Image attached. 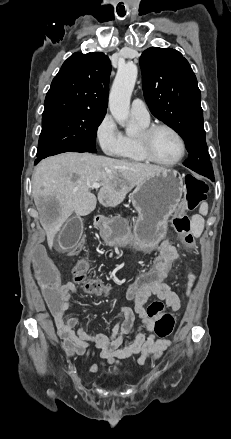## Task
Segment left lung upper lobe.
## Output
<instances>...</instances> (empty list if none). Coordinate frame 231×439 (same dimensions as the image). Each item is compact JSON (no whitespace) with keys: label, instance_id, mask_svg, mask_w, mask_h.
<instances>
[{"label":"left lung upper lobe","instance_id":"1","mask_svg":"<svg viewBox=\"0 0 231 439\" xmlns=\"http://www.w3.org/2000/svg\"><path fill=\"white\" fill-rule=\"evenodd\" d=\"M140 66L144 97L151 113L185 141L189 158L184 165L212 179L201 93L188 61L177 50L151 47L142 53Z\"/></svg>","mask_w":231,"mask_h":439}]
</instances>
